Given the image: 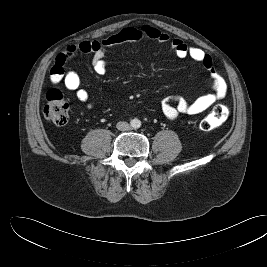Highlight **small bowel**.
<instances>
[{"instance_id": "1", "label": "small bowel", "mask_w": 267, "mask_h": 267, "mask_svg": "<svg viewBox=\"0 0 267 267\" xmlns=\"http://www.w3.org/2000/svg\"><path fill=\"white\" fill-rule=\"evenodd\" d=\"M151 39L163 44H169L179 58L190 57L199 62L209 71L211 76V90L195 100L189 102L180 95H171L164 98L162 111L165 117L171 121L176 120L180 115H196L207 110L213 103L225 97L227 84L224 78L214 69L212 58L202 49L196 46L187 45L180 39L171 38L167 33L154 27L143 25L140 27H127L101 40L83 41L76 45L68 46L55 60L50 70L52 83H63L64 86L75 92L76 98L91 107L88 92L80 87V77L73 70H66V65L79 54L91 56V65L95 73L100 76L108 73L105 61L107 48L123 42L140 41Z\"/></svg>"}]
</instances>
